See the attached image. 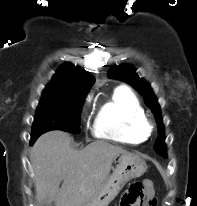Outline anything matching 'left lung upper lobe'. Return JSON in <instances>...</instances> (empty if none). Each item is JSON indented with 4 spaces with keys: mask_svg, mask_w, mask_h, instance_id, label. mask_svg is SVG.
I'll use <instances>...</instances> for the list:
<instances>
[{
    "mask_svg": "<svg viewBox=\"0 0 197 206\" xmlns=\"http://www.w3.org/2000/svg\"><path fill=\"white\" fill-rule=\"evenodd\" d=\"M135 71L136 70L132 66L124 64L110 69L108 72V77L123 80L129 83L144 96L145 103L154 113L158 126V138L154 145V149L164 157L166 155V145L164 142V126L159 104L152 92V89L150 88V85L145 80L140 78Z\"/></svg>",
    "mask_w": 197,
    "mask_h": 206,
    "instance_id": "left-lung-upper-lobe-1",
    "label": "left lung upper lobe"
}]
</instances>
